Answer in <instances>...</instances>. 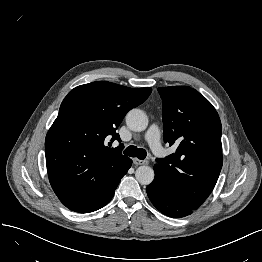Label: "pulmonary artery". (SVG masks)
Instances as JSON below:
<instances>
[{
	"label": "pulmonary artery",
	"mask_w": 262,
	"mask_h": 262,
	"mask_svg": "<svg viewBox=\"0 0 262 262\" xmlns=\"http://www.w3.org/2000/svg\"><path fill=\"white\" fill-rule=\"evenodd\" d=\"M145 140L148 142L149 146L151 147L152 151L159 157L163 155V147L160 142V132L157 125L153 124L149 127L146 135Z\"/></svg>",
	"instance_id": "pulmonary-artery-1"
}]
</instances>
